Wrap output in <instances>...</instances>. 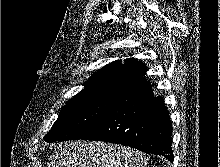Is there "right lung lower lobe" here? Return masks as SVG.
<instances>
[{
  "mask_svg": "<svg viewBox=\"0 0 220 167\" xmlns=\"http://www.w3.org/2000/svg\"><path fill=\"white\" fill-rule=\"evenodd\" d=\"M171 134L164 101L147 85L114 99L104 118L81 139L122 144L173 162Z\"/></svg>",
  "mask_w": 220,
  "mask_h": 167,
  "instance_id": "98d812e1",
  "label": "right lung lower lobe"
}]
</instances>
